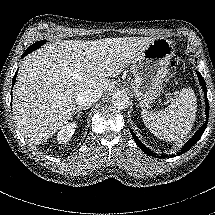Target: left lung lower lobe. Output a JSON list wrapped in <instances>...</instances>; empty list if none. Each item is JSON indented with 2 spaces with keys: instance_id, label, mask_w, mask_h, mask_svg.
I'll return each instance as SVG.
<instances>
[{
  "instance_id": "left-lung-lower-lobe-1",
  "label": "left lung lower lobe",
  "mask_w": 215,
  "mask_h": 215,
  "mask_svg": "<svg viewBox=\"0 0 215 215\" xmlns=\"http://www.w3.org/2000/svg\"><path fill=\"white\" fill-rule=\"evenodd\" d=\"M198 79L200 81V84L203 88L204 91V95L206 97L205 102H206V120L208 121V117H209V104H208V99H207V89H206V84L205 81L202 77V75L196 71ZM207 121L199 128V130L195 133V135L181 148V150L177 153V156L180 154H183L185 152H187L202 136V134L204 133L206 126H207ZM130 132L132 134V137L134 139V141L136 142V144L144 151V153H146L149 156H153V157H157V158H169V157H174V155H158L156 153H154L153 151H151L149 148H147L138 138L137 136L134 134V132L130 129Z\"/></svg>"
}]
</instances>
